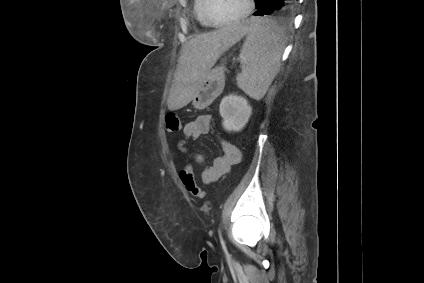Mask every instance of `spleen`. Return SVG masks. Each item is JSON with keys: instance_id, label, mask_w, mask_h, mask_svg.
Wrapping results in <instances>:
<instances>
[{"instance_id": "obj_1", "label": "spleen", "mask_w": 424, "mask_h": 283, "mask_svg": "<svg viewBox=\"0 0 424 283\" xmlns=\"http://www.w3.org/2000/svg\"><path fill=\"white\" fill-rule=\"evenodd\" d=\"M240 53L244 65L236 77L238 87L254 99H262L280 69L286 39L283 29L270 19L251 18Z\"/></svg>"}]
</instances>
